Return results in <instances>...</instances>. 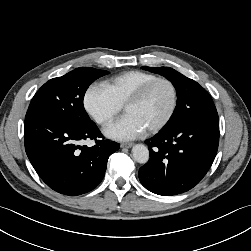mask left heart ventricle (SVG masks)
Here are the masks:
<instances>
[{"mask_svg": "<svg viewBox=\"0 0 251 251\" xmlns=\"http://www.w3.org/2000/svg\"><path fill=\"white\" fill-rule=\"evenodd\" d=\"M172 92L166 83H158L138 104L126 109V114L135 117L148 130L160 123L171 107Z\"/></svg>", "mask_w": 251, "mask_h": 251, "instance_id": "obj_1", "label": "left heart ventricle"}]
</instances>
